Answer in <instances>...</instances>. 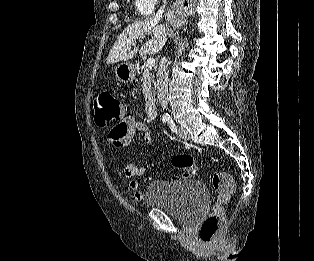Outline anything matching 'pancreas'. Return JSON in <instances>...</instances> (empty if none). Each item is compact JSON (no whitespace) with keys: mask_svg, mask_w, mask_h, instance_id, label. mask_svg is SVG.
Wrapping results in <instances>:
<instances>
[{"mask_svg":"<svg viewBox=\"0 0 314 261\" xmlns=\"http://www.w3.org/2000/svg\"><path fill=\"white\" fill-rule=\"evenodd\" d=\"M141 82L145 101L153 102L155 97V78L154 75H152L150 68H144Z\"/></svg>","mask_w":314,"mask_h":261,"instance_id":"cf45deb5","label":"pancreas"}]
</instances>
